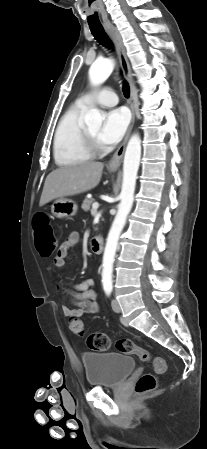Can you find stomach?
Returning a JSON list of instances; mask_svg holds the SVG:
<instances>
[{
    "label": "stomach",
    "instance_id": "obj_1",
    "mask_svg": "<svg viewBox=\"0 0 207 449\" xmlns=\"http://www.w3.org/2000/svg\"><path fill=\"white\" fill-rule=\"evenodd\" d=\"M114 172L116 169H110ZM78 206L71 199L60 198L54 201L51 206L52 214L57 218H70L77 213Z\"/></svg>",
    "mask_w": 207,
    "mask_h": 449
}]
</instances>
